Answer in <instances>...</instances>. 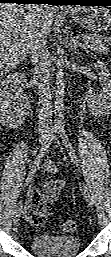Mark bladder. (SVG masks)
Wrapping results in <instances>:
<instances>
[{
    "instance_id": "31cf9c89",
    "label": "bladder",
    "mask_w": 111,
    "mask_h": 257,
    "mask_svg": "<svg viewBox=\"0 0 111 257\" xmlns=\"http://www.w3.org/2000/svg\"><path fill=\"white\" fill-rule=\"evenodd\" d=\"M76 236L39 234L32 238L30 247L39 257H73L80 251Z\"/></svg>"
}]
</instances>
